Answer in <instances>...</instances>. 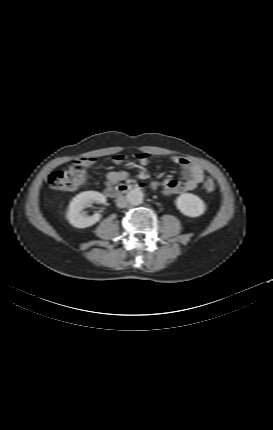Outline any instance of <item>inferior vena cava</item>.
I'll return each instance as SVG.
<instances>
[{"instance_id": "1", "label": "inferior vena cava", "mask_w": 273, "mask_h": 430, "mask_svg": "<svg viewBox=\"0 0 273 430\" xmlns=\"http://www.w3.org/2000/svg\"><path fill=\"white\" fill-rule=\"evenodd\" d=\"M128 205V200L125 196H120L117 198V206L119 208H125Z\"/></svg>"}]
</instances>
